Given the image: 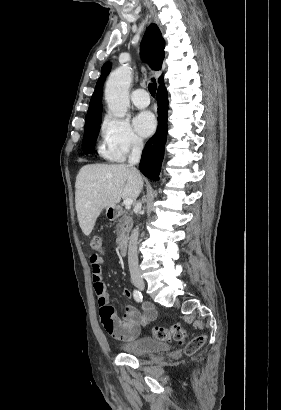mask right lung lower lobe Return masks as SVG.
Returning a JSON list of instances; mask_svg holds the SVG:
<instances>
[{"label":"right lung lower lobe","mask_w":281,"mask_h":410,"mask_svg":"<svg viewBox=\"0 0 281 410\" xmlns=\"http://www.w3.org/2000/svg\"><path fill=\"white\" fill-rule=\"evenodd\" d=\"M158 127L154 136L148 140L139 165L141 172L151 180H159L161 163L164 157V147L167 139L168 95L164 85L159 86Z\"/></svg>","instance_id":"obj_1"}]
</instances>
